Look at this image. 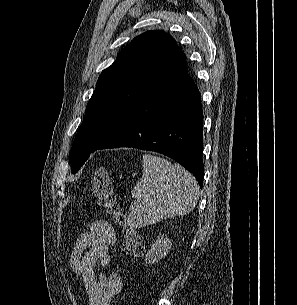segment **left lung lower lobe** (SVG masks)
<instances>
[{"mask_svg": "<svg viewBox=\"0 0 297 305\" xmlns=\"http://www.w3.org/2000/svg\"><path fill=\"white\" fill-rule=\"evenodd\" d=\"M119 147L164 154L191 172L202 188L203 114L199 90L188 73L150 86L97 150Z\"/></svg>", "mask_w": 297, "mask_h": 305, "instance_id": "1", "label": "left lung lower lobe"}]
</instances>
